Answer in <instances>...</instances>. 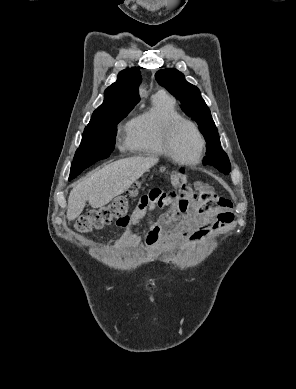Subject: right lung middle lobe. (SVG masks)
<instances>
[{
  "label": "right lung middle lobe",
  "mask_w": 296,
  "mask_h": 389,
  "mask_svg": "<svg viewBox=\"0 0 296 389\" xmlns=\"http://www.w3.org/2000/svg\"><path fill=\"white\" fill-rule=\"evenodd\" d=\"M133 107L116 109L104 116L92 118L84 129L80 147L75 153L71 170L91 166L109 157L114 150L117 124L128 115Z\"/></svg>",
  "instance_id": "obj_1"
}]
</instances>
